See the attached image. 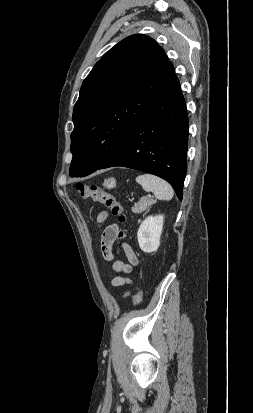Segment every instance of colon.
Masks as SVG:
<instances>
[{"label": "colon", "instance_id": "obj_1", "mask_svg": "<svg viewBox=\"0 0 253 413\" xmlns=\"http://www.w3.org/2000/svg\"><path fill=\"white\" fill-rule=\"evenodd\" d=\"M74 188L78 195L85 199H91L98 202L111 210V212L117 217L118 221L125 224L127 216L123 205L109 192L96 185H88L82 182H78L74 185ZM117 237L123 239L126 237V229L122 228L118 231ZM143 294L139 287H136L133 296V304L135 306L142 302Z\"/></svg>", "mask_w": 253, "mask_h": 413}]
</instances>
